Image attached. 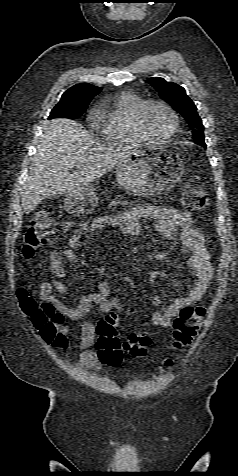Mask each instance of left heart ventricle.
I'll list each match as a JSON object with an SVG mask.
<instances>
[{
	"label": "left heart ventricle",
	"mask_w": 238,
	"mask_h": 476,
	"mask_svg": "<svg viewBox=\"0 0 238 476\" xmlns=\"http://www.w3.org/2000/svg\"><path fill=\"white\" fill-rule=\"evenodd\" d=\"M144 125L150 136L160 139L170 132L172 119L163 107L153 105L149 107L145 113Z\"/></svg>",
	"instance_id": "left-heart-ventricle-1"
}]
</instances>
